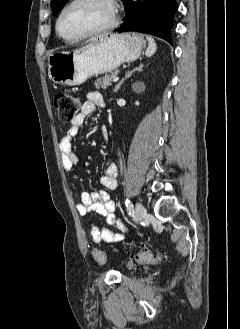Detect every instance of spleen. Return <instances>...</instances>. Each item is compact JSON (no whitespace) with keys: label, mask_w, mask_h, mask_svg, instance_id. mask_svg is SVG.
<instances>
[{"label":"spleen","mask_w":240,"mask_h":329,"mask_svg":"<svg viewBox=\"0 0 240 329\" xmlns=\"http://www.w3.org/2000/svg\"><path fill=\"white\" fill-rule=\"evenodd\" d=\"M148 40V47L146 49L145 55L147 57H151L157 50L156 43L152 37H147Z\"/></svg>","instance_id":"spleen-1"}]
</instances>
